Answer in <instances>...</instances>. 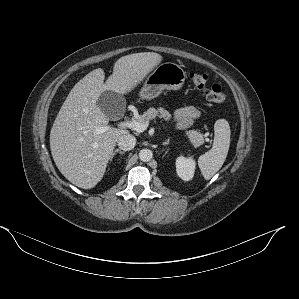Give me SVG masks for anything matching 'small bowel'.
I'll list each match as a JSON object with an SVG mask.
<instances>
[{
  "instance_id": "small-bowel-1",
  "label": "small bowel",
  "mask_w": 299,
  "mask_h": 299,
  "mask_svg": "<svg viewBox=\"0 0 299 299\" xmlns=\"http://www.w3.org/2000/svg\"><path fill=\"white\" fill-rule=\"evenodd\" d=\"M200 116V111L192 105H184L174 112V119L178 128L190 126Z\"/></svg>"
}]
</instances>
